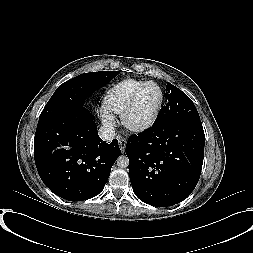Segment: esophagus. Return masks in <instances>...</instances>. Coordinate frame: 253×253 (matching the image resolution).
<instances>
[{
  "label": "esophagus",
  "mask_w": 253,
  "mask_h": 253,
  "mask_svg": "<svg viewBox=\"0 0 253 253\" xmlns=\"http://www.w3.org/2000/svg\"><path fill=\"white\" fill-rule=\"evenodd\" d=\"M118 142H119V147L121 149V152L124 153L125 148H126V140L124 138H119Z\"/></svg>",
  "instance_id": "obj_1"
}]
</instances>
